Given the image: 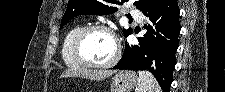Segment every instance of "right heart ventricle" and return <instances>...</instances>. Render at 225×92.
Masks as SVG:
<instances>
[{"label": "right heart ventricle", "instance_id": "e07e8e85", "mask_svg": "<svg viewBox=\"0 0 225 92\" xmlns=\"http://www.w3.org/2000/svg\"><path fill=\"white\" fill-rule=\"evenodd\" d=\"M82 24H76L71 27L64 35L62 47H61V57L63 62L72 68H80L81 66L75 60L73 53L71 51V44L75 35L83 28Z\"/></svg>", "mask_w": 225, "mask_h": 92}]
</instances>
